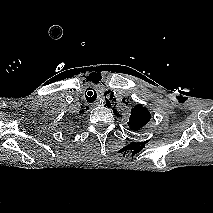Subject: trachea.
I'll return each mask as SVG.
<instances>
[{
    "label": "trachea",
    "mask_w": 213,
    "mask_h": 213,
    "mask_svg": "<svg viewBox=\"0 0 213 213\" xmlns=\"http://www.w3.org/2000/svg\"><path fill=\"white\" fill-rule=\"evenodd\" d=\"M88 90H89V89H88ZM91 90H93L94 93H93ZM91 90H89V91L87 92V95H85V96H86V100H87V102H89V103L94 102V101L96 100V98H97L96 91H95L94 89H91Z\"/></svg>",
    "instance_id": "1"
}]
</instances>
